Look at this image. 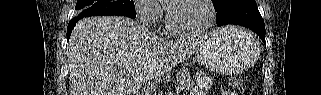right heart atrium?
Masks as SVG:
<instances>
[{
	"label": "right heart atrium",
	"instance_id": "1",
	"mask_svg": "<svg viewBox=\"0 0 321 95\" xmlns=\"http://www.w3.org/2000/svg\"><path fill=\"white\" fill-rule=\"evenodd\" d=\"M134 10L138 20L145 25H154L162 16V9L156 0H137Z\"/></svg>",
	"mask_w": 321,
	"mask_h": 95
}]
</instances>
